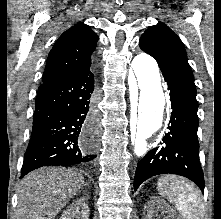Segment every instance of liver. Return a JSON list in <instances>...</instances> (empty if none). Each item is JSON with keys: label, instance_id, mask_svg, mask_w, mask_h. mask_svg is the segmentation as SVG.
<instances>
[{"label": "liver", "instance_id": "obj_1", "mask_svg": "<svg viewBox=\"0 0 221 219\" xmlns=\"http://www.w3.org/2000/svg\"><path fill=\"white\" fill-rule=\"evenodd\" d=\"M83 185V175L70 169L31 172L20 183L17 219H55Z\"/></svg>", "mask_w": 221, "mask_h": 219}]
</instances>
